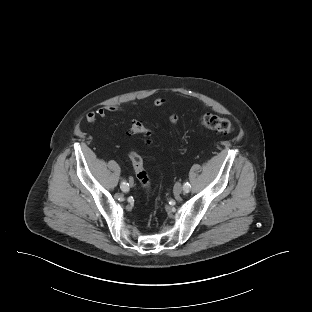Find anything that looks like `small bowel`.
<instances>
[{
	"instance_id": "obj_1",
	"label": "small bowel",
	"mask_w": 312,
	"mask_h": 312,
	"mask_svg": "<svg viewBox=\"0 0 312 312\" xmlns=\"http://www.w3.org/2000/svg\"><path fill=\"white\" fill-rule=\"evenodd\" d=\"M167 103L165 98H156L153 101V106L163 107ZM124 109L118 105H106L98 108L95 111H90L86 115V121L90 124H93L98 118H105L109 113H121ZM170 122L176 124L178 121V116L176 114L170 115Z\"/></svg>"
}]
</instances>
